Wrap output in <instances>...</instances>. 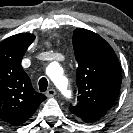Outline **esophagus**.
<instances>
[{"instance_id":"obj_1","label":"esophagus","mask_w":133,"mask_h":133,"mask_svg":"<svg viewBox=\"0 0 133 133\" xmlns=\"http://www.w3.org/2000/svg\"><path fill=\"white\" fill-rule=\"evenodd\" d=\"M55 95H56V90L55 89L51 88V89L47 90V92H46L47 97H53Z\"/></svg>"}]
</instances>
